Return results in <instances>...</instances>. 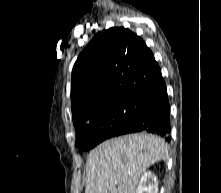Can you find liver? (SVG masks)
<instances>
[{"label":"liver","instance_id":"obj_1","mask_svg":"<svg viewBox=\"0 0 221 193\" xmlns=\"http://www.w3.org/2000/svg\"><path fill=\"white\" fill-rule=\"evenodd\" d=\"M169 158L162 138L130 134L104 141L89 153L85 193H135L141 175Z\"/></svg>","mask_w":221,"mask_h":193}]
</instances>
